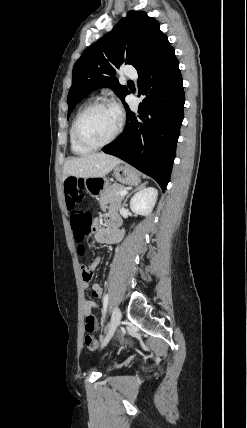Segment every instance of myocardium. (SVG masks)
I'll return each instance as SVG.
<instances>
[{
	"label": "myocardium",
	"instance_id": "myocardium-1",
	"mask_svg": "<svg viewBox=\"0 0 247 428\" xmlns=\"http://www.w3.org/2000/svg\"><path fill=\"white\" fill-rule=\"evenodd\" d=\"M104 107L113 109V106L108 101H95V102L89 104L88 106H86L84 109H82L79 112V114L77 115V117L74 121L73 133H74L75 140L81 146H83L85 148L92 149V150L100 149V148H103V147L111 144L112 142H114L116 140V138L119 136V134L122 130V127H123V120H122L120 115L117 116V125H116L114 132L104 142L91 143V142L87 141L86 139H84L83 136L81 135L80 124H81V121L84 118V116L93 109L104 108Z\"/></svg>",
	"mask_w": 247,
	"mask_h": 428
}]
</instances>
